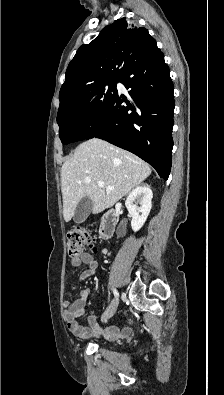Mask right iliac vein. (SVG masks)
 <instances>
[{
  "instance_id": "1",
  "label": "right iliac vein",
  "mask_w": 224,
  "mask_h": 395,
  "mask_svg": "<svg viewBox=\"0 0 224 395\" xmlns=\"http://www.w3.org/2000/svg\"><path fill=\"white\" fill-rule=\"evenodd\" d=\"M118 306V300H114L111 305L109 310L102 316V320L106 321L110 317H112L117 309Z\"/></svg>"
}]
</instances>
